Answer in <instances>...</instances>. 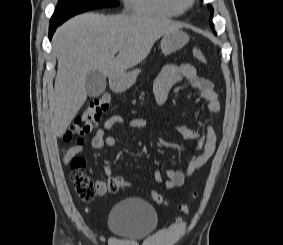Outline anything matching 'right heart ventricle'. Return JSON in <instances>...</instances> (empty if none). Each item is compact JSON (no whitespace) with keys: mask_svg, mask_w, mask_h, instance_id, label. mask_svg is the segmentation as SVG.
<instances>
[{"mask_svg":"<svg viewBox=\"0 0 283 245\" xmlns=\"http://www.w3.org/2000/svg\"><path fill=\"white\" fill-rule=\"evenodd\" d=\"M126 8L136 14L174 18L184 12L182 0H124Z\"/></svg>","mask_w":283,"mask_h":245,"instance_id":"1","label":"right heart ventricle"}]
</instances>
